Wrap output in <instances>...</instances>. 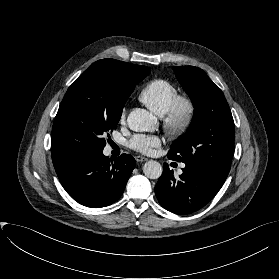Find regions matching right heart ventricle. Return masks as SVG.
I'll list each match as a JSON object with an SVG mask.
<instances>
[{"instance_id":"right-heart-ventricle-1","label":"right heart ventricle","mask_w":279,"mask_h":279,"mask_svg":"<svg viewBox=\"0 0 279 279\" xmlns=\"http://www.w3.org/2000/svg\"><path fill=\"white\" fill-rule=\"evenodd\" d=\"M177 94L178 90L171 82L154 79L142 89L139 98L153 113L164 116Z\"/></svg>"}]
</instances>
